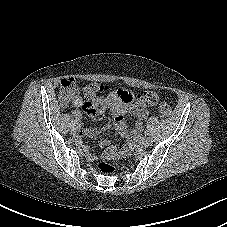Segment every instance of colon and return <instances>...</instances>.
Masks as SVG:
<instances>
[{
    "label": "colon",
    "mask_w": 227,
    "mask_h": 227,
    "mask_svg": "<svg viewBox=\"0 0 227 227\" xmlns=\"http://www.w3.org/2000/svg\"><path fill=\"white\" fill-rule=\"evenodd\" d=\"M106 90L104 85L96 83H88L80 85L74 78H65L60 82L59 99L63 105L73 102L75 99L80 98L79 94L82 93L87 99H94L98 94ZM127 101H132L136 95L129 92L123 95ZM139 100L149 106L159 103V95L153 91H144L138 96ZM159 113L162 117H168L171 114V108L168 103H159ZM98 170L104 174H113L115 167L107 162H100L97 165Z\"/></svg>",
    "instance_id": "obj_1"
}]
</instances>
